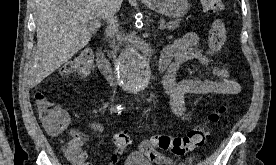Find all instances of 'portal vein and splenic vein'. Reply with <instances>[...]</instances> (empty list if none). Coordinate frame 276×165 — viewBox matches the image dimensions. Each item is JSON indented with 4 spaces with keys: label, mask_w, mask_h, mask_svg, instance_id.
<instances>
[{
    "label": "portal vein and splenic vein",
    "mask_w": 276,
    "mask_h": 165,
    "mask_svg": "<svg viewBox=\"0 0 276 165\" xmlns=\"http://www.w3.org/2000/svg\"><path fill=\"white\" fill-rule=\"evenodd\" d=\"M101 26V23L99 21H95V22H92L91 23V27L92 28H98ZM165 28V22L164 21H161L160 22V26H159V29H164Z\"/></svg>",
    "instance_id": "obj_1"
}]
</instances>
